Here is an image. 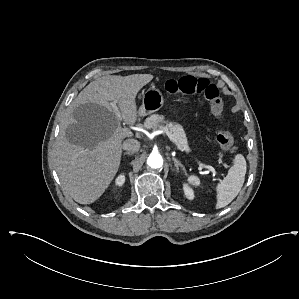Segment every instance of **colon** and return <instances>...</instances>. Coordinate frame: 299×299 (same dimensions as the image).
Instances as JSON below:
<instances>
[{
    "label": "colon",
    "mask_w": 299,
    "mask_h": 299,
    "mask_svg": "<svg viewBox=\"0 0 299 299\" xmlns=\"http://www.w3.org/2000/svg\"><path fill=\"white\" fill-rule=\"evenodd\" d=\"M163 86L167 92L172 94L182 93L204 96L209 102L212 114L219 121L217 142L223 151H231L234 144V136L230 128L223 122V101L216 85L206 78L185 76L179 79H169L164 82Z\"/></svg>",
    "instance_id": "colon-1"
}]
</instances>
